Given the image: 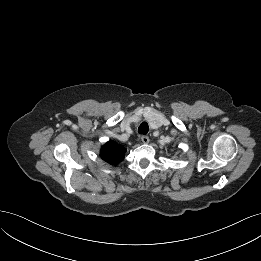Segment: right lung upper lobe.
I'll return each instance as SVG.
<instances>
[{
    "mask_svg": "<svg viewBox=\"0 0 261 261\" xmlns=\"http://www.w3.org/2000/svg\"><path fill=\"white\" fill-rule=\"evenodd\" d=\"M126 149L114 141L107 142L100 151V156L111 165H117L124 159Z\"/></svg>",
    "mask_w": 261,
    "mask_h": 261,
    "instance_id": "obj_1",
    "label": "right lung upper lobe"
}]
</instances>
